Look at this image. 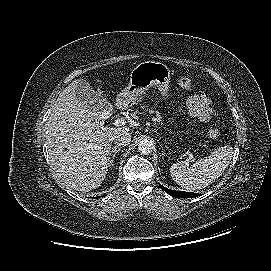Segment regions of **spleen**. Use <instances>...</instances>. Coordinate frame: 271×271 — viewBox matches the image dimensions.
Wrapping results in <instances>:
<instances>
[{
	"label": "spleen",
	"instance_id": "1",
	"mask_svg": "<svg viewBox=\"0 0 271 271\" xmlns=\"http://www.w3.org/2000/svg\"><path fill=\"white\" fill-rule=\"evenodd\" d=\"M232 155V147L224 146L212 152L209 157L197 160L190 167L182 163H174L170 168V174L179 186L188 191L202 189L222 175Z\"/></svg>",
	"mask_w": 271,
	"mask_h": 271
}]
</instances>
